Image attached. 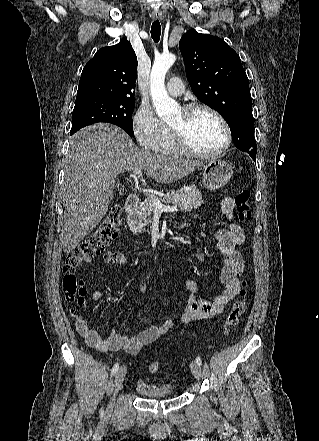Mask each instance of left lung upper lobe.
Masks as SVG:
<instances>
[{
  "label": "left lung upper lobe",
  "mask_w": 319,
  "mask_h": 441,
  "mask_svg": "<svg viewBox=\"0 0 319 441\" xmlns=\"http://www.w3.org/2000/svg\"><path fill=\"white\" fill-rule=\"evenodd\" d=\"M179 48L194 94L221 114L235 146L255 161L252 99L239 55L224 40L194 29L181 37Z\"/></svg>",
  "instance_id": "obj_1"
}]
</instances>
